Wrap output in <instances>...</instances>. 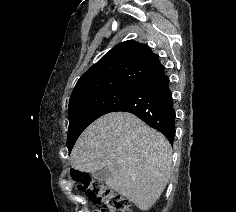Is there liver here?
<instances>
[{"label":"liver","instance_id":"liver-1","mask_svg":"<svg viewBox=\"0 0 236 212\" xmlns=\"http://www.w3.org/2000/svg\"><path fill=\"white\" fill-rule=\"evenodd\" d=\"M172 149L166 137L130 113H108L78 138L71 165L82 172L110 171L106 185L140 210L150 209L170 176Z\"/></svg>","mask_w":236,"mask_h":212}]
</instances>
